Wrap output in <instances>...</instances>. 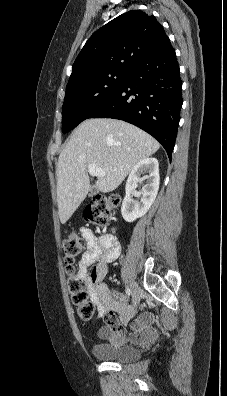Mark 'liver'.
<instances>
[{
	"label": "liver",
	"instance_id": "obj_1",
	"mask_svg": "<svg viewBox=\"0 0 227 396\" xmlns=\"http://www.w3.org/2000/svg\"><path fill=\"white\" fill-rule=\"evenodd\" d=\"M159 147L152 136L127 122L111 118L83 121L58 158L57 203L61 223L70 219L88 194V165L95 164L105 171L95 187L108 193L123 182L139 161L153 155Z\"/></svg>",
	"mask_w": 227,
	"mask_h": 396
}]
</instances>
